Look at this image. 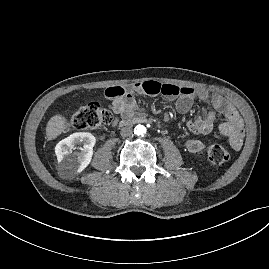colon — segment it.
Masks as SVG:
<instances>
[{
	"label": "colon",
	"mask_w": 269,
	"mask_h": 269,
	"mask_svg": "<svg viewBox=\"0 0 269 269\" xmlns=\"http://www.w3.org/2000/svg\"><path fill=\"white\" fill-rule=\"evenodd\" d=\"M112 121V114L98 102L81 106L67 121L68 127L76 130L99 128ZM207 155L214 165H224L230 160V154L223 146L209 142Z\"/></svg>",
	"instance_id": "1"
}]
</instances>
